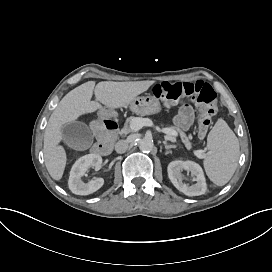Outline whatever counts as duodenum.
Instances as JSON below:
<instances>
[{
	"label": "duodenum",
	"mask_w": 272,
	"mask_h": 272,
	"mask_svg": "<svg viewBox=\"0 0 272 272\" xmlns=\"http://www.w3.org/2000/svg\"><path fill=\"white\" fill-rule=\"evenodd\" d=\"M97 136V142L93 147V152L100 155H107L113 145L118 133V125L112 119L102 118L99 119L94 127Z\"/></svg>",
	"instance_id": "1"
}]
</instances>
